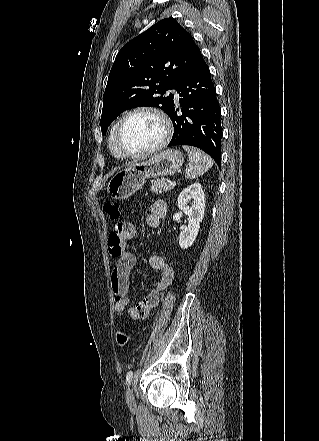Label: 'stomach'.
<instances>
[{
  "instance_id": "1",
  "label": "stomach",
  "mask_w": 319,
  "mask_h": 441,
  "mask_svg": "<svg viewBox=\"0 0 319 441\" xmlns=\"http://www.w3.org/2000/svg\"><path fill=\"white\" fill-rule=\"evenodd\" d=\"M183 164L182 153L167 149L146 161H134L113 175L107 192L114 199H126L142 188L150 177L173 175Z\"/></svg>"
}]
</instances>
